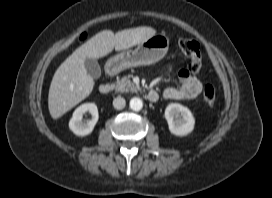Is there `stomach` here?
Here are the masks:
<instances>
[{
  "mask_svg": "<svg viewBox=\"0 0 272 198\" xmlns=\"http://www.w3.org/2000/svg\"><path fill=\"white\" fill-rule=\"evenodd\" d=\"M169 48V38L165 35H154L138 44L134 50H126L111 57L105 65L106 72L117 74L125 69L152 65L165 57Z\"/></svg>",
  "mask_w": 272,
  "mask_h": 198,
  "instance_id": "obj_1",
  "label": "stomach"
}]
</instances>
